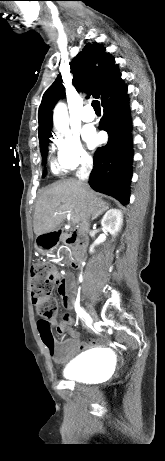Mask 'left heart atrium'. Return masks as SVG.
I'll use <instances>...</instances> for the list:
<instances>
[{
	"label": "left heart atrium",
	"instance_id": "1",
	"mask_svg": "<svg viewBox=\"0 0 165 461\" xmlns=\"http://www.w3.org/2000/svg\"><path fill=\"white\" fill-rule=\"evenodd\" d=\"M85 139L91 146H95L99 142V137L96 135L95 132L86 133Z\"/></svg>",
	"mask_w": 165,
	"mask_h": 461
}]
</instances>
